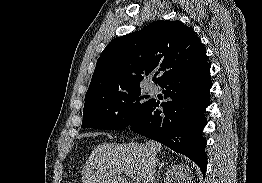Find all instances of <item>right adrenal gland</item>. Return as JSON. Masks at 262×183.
I'll return each mask as SVG.
<instances>
[{"instance_id": "1", "label": "right adrenal gland", "mask_w": 262, "mask_h": 183, "mask_svg": "<svg viewBox=\"0 0 262 183\" xmlns=\"http://www.w3.org/2000/svg\"><path fill=\"white\" fill-rule=\"evenodd\" d=\"M157 164H158V176H157V180H159V173H160L161 168L164 167V166H165L166 164H168V163H167V162H160V161H158Z\"/></svg>"}]
</instances>
